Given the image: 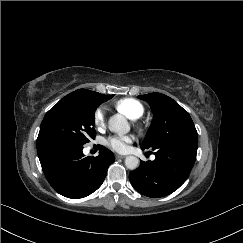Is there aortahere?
I'll return each mask as SVG.
<instances>
[{
    "mask_svg": "<svg viewBox=\"0 0 243 243\" xmlns=\"http://www.w3.org/2000/svg\"><path fill=\"white\" fill-rule=\"evenodd\" d=\"M108 128L111 132L123 135L129 132L130 126L123 115L115 114L108 121ZM139 159L135 156H127L125 165L130 170H135L139 166Z\"/></svg>",
    "mask_w": 243,
    "mask_h": 243,
    "instance_id": "1",
    "label": "aorta"
}]
</instances>
